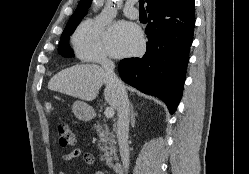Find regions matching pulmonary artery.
Wrapping results in <instances>:
<instances>
[{"instance_id": "1", "label": "pulmonary artery", "mask_w": 249, "mask_h": 174, "mask_svg": "<svg viewBox=\"0 0 249 174\" xmlns=\"http://www.w3.org/2000/svg\"><path fill=\"white\" fill-rule=\"evenodd\" d=\"M136 0H127L123 7L124 14L131 19L139 18V11L135 7Z\"/></svg>"}]
</instances>
